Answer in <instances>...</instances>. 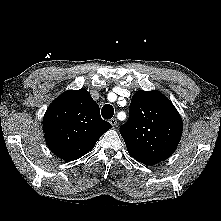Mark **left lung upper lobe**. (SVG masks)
<instances>
[{"label": "left lung upper lobe", "mask_w": 221, "mask_h": 221, "mask_svg": "<svg viewBox=\"0 0 221 221\" xmlns=\"http://www.w3.org/2000/svg\"><path fill=\"white\" fill-rule=\"evenodd\" d=\"M182 128L178 111L162 93L140 90L132 97L129 119L120 133L134 159L153 165L174 153Z\"/></svg>", "instance_id": "left-lung-upper-lobe-1"}]
</instances>
